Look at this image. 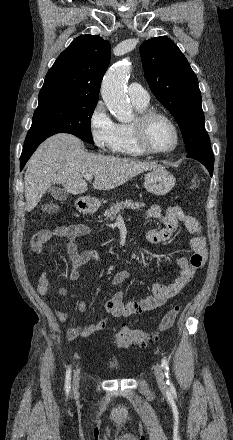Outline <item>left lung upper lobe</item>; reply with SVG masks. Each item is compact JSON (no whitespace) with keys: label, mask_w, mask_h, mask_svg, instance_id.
Returning a JSON list of instances; mask_svg holds the SVG:
<instances>
[{"label":"left lung upper lobe","mask_w":233,"mask_h":440,"mask_svg":"<svg viewBox=\"0 0 233 440\" xmlns=\"http://www.w3.org/2000/svg\"><path fill=\"white\" fill-rule=\"evenodd\" d=\"M144 74L156 98L176 119L188 154L211 149L198 79L177 45L160 36L143 42Z\"/></svg>","instance_id":"obj_1"}]
</instances>
